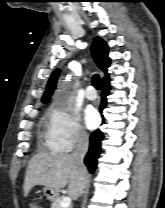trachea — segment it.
Returning a JSON list of instances; mask_svg holds the SVG:
<instances>
[{"mask_svg":"<svg viewBox=\"0 0 165 208\" xmlns=\"http://www.w3.org/2000/svg\"><path fill=\"white\" fill-rule=\"evenodd\" d=\"M92 84L97 90L101 89L100 77L98 74L93 75Z\"/></svg>","mask_w":165,"mask_h":208,"instance_id":"3493384b","label":"trachea"}]
</instances>
